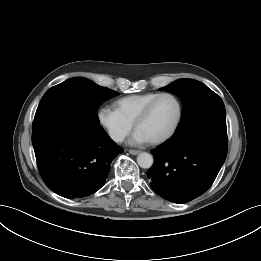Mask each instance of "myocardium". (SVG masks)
Returning a JSON list of instances; mask_svg holds the SVG:
<instances>
[{
	"label": "myocardium",
	"instance_id": "myocardium-1",
	"mask_svg": "<svg viewBox=\"0 0 261 261\" xmlns=\"http://www.w3.org/2000/svg\"><path fill=\"white\" fill-rule=\"evenodd\" d=\"M163 97H170L176 102L177 116L175 118V121H174L172 127L169 129V131L167 133H165L164 135H162L156 139L149 141V143L153 144V145L162 144V143L168 141L176 133V131L180 125V122L182 119V113H183L182 104H181L180 100L178 99V97L175 96L174 94L168 93V92L159 93L142 109V111L138 114V116L136 117V119L133 123L134 128L137 129L138 125L149 116L154 105Z\"/></svg>",
	"mask_w": 261,
	"mask_h": 261
}]
</instances>
